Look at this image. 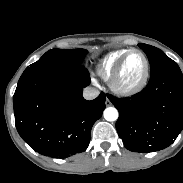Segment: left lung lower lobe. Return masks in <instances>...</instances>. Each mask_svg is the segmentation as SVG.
Wrapping results in <instances>:
<instances>
[{"instance_id": "left-lung-lower-lobe-1", "label": "left lung lower lobe", "mask_w": 183, "mask_h": 183, "mask_svg": "<svg viewBox=\"0 0 183 183\" xmlns=\"http://www.w3.org/2000/svg\"><path fill=\"white\" fill-rule=\"evenodd\" d=\"M108 98L119 111L116 129L130 151L164 149L183 129V74L178 66L150 75L146 88L137 95Z\"/></svg>"}]
</instances>
